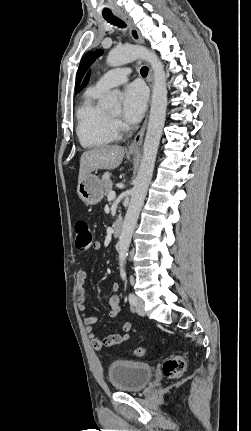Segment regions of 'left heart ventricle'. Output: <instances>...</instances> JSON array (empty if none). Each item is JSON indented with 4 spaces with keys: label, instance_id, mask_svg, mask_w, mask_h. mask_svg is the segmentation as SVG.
<instances>
[{
    "label": "left heart ventricle",
    "instance_id": "b2bd125f",
    "mask_svg": "<svg viewBox=\"0 0 251 431\" xmlns=\"http://www.w3.org/2000/svg\"><path fill=\"white\" fill-rule=\"evenodd\" d=\"M119 114H120V109H116V110L110 112V115H112V116H118Z\"/></svg>",
    "mask_w": 251,
    "mask_h": 431
}]
</instances>
